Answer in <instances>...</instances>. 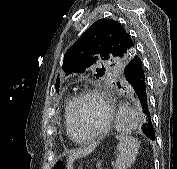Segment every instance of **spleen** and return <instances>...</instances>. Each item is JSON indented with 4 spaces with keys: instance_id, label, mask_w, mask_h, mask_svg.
<instances>
[{
    "instance_id": "3e777b00",
    "label": "spleen",
    "mask_w": 177,
    "mask_h": 169,
    "mask_svg": "<svg viewBox=\"0 0 177 169\" xmlns=\"http://www.w3.org/2000/svg\"><path fill=\"white\" fill-rule=\"evenodd\" d=\"M119 141L117 145L118 158L115 163V169H128L135 162L140 147V142L132 136L117 135Z\"/></svg>"
}]
</instances>
